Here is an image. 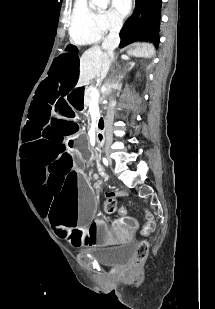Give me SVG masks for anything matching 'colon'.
Returning a JSON list of instances; mask_svg holds the SVG:
<instances>
[{
    "label": "colon",
    "mask_w": 215,
    "mask_h": 309,
    "mask_svg": "<svg viewBox=\"0 0 215 309\" xmlns=\"http://www.w3.org/2000/svg\"><path fill=\"white\" fill-rule=\"evenodd\" d=\"M116 195L114 193H108L106 195V201L104 203V213L107 215H112L116 211ZM149 251V244L147 242H140L137 247V258L144 259Z\"/></svg>",
    "instance_id": "obj_1"
}]
</instances>
